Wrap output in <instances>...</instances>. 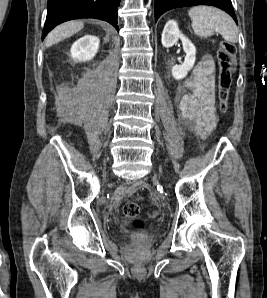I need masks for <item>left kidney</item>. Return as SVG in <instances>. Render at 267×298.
<instances>
[{"label": "left kidney", "mask_w": 267, "mask_h": 298, "mask_svg": "<svg viewBox=\"0 0 267 298\" xmlns=\"http://www.w3.org/2000/svg\"><path fill=\"white\" fill-rule=\"evenodd\" d=\"M178 39H181L183 50L186 53L184 63L182 65H174L172 67V75L176 80L184 79L188 72L193 68L196 61V48L194 44L179 30L178 24L174 20H170L164 26L162 32V45L165 48L172 47Z\"/></svg>", "instance_id": "1"}]
</instances>
